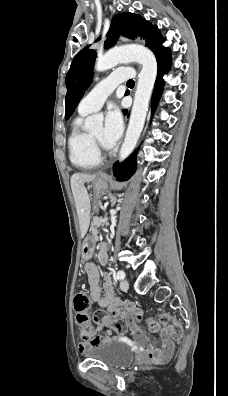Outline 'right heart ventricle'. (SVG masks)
Returning a JSON list of instances; mask_svg holds the SVG:
<instances>
[{"instance_id": "e07e8e85", "label": "right heart ventricle", "mask_w": 228, "mask_h": 396, "mask_svg": "<svg viewBox=\"0 0 228 396\" xmlns=\"http://www.w3.org/2000/svg\"><path fill=\"white\" fill-rule=\"evenodd\" d=\"M86 114L77 117L68 138V147L71 162L84 170H91L100 164V156L97 153L91 139V134L83 128V118Z\"/></svg>"}]
</instances>
